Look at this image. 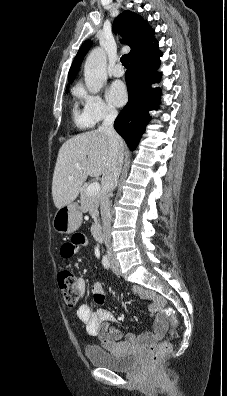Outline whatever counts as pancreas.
<instances>
[{"label": "pancreas", "mask_w": 227, "mask_h": 396, "mask_svg": "<svg viewBox=\"0 0 227 396\" xmlns=\"http://www.w3.org/2000/svg\"><path fill=\"white\" fill-rule=\"evenodd\" d=\"M87 187L84 186L81 189L80 203H81V211L86 213L89 212L95 222L98 220V207L100 203L101 194L98 192L97 194L89 195L87 193Z\"/></svg>", "instance_id": "1"}]
</instances>
